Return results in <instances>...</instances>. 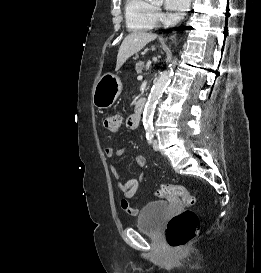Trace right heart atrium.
<instances>
[{
	"label": "right heart atrium",
	"mask_w": 261,
	"mask_h": 273,
	"mask_svg": "<svg viewBox=\"0 0 261 273\" xmlns=\"http://www.w3.org/2000/svg\"><path fill=\"white\" fill-rule=\"evenodd\" d=\"M155 15L157 19H161L162 18V14L159 12V10H155Z\"/></svg>",
	"instance_id": "1"
}]
</instances>
